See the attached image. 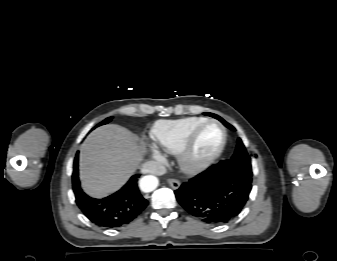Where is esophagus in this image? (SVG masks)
I'll return each mask as SVG.
<instances>
[{"instance_id": "obj_1", "label": "esophagus", "mask_w": 337, "mask_h": 261, "mask_svg": "<svg viewBox=\"0 0 337 261\" xmlns=\"http://www.w3.org/2000/svg\"><path fill=\"white\" fill-rule=\"evenodd\" d=\"M168 184L173 188V189H178L180 187V181L174 178L168 179Z\"/></svg>"}]
</instances>
